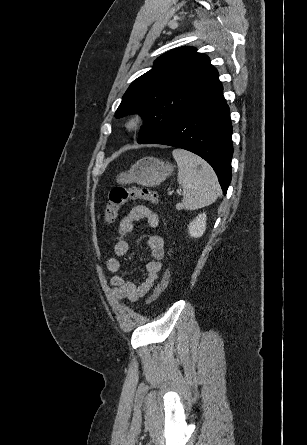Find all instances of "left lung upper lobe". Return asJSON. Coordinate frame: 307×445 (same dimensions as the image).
Instances as JSON below:
<instances>
[{
    "instance_id": "left-lung-upper-lobe-1",
    "label": "left lung upper lobe",
    "mask_w": 307,
    "mask_h": 445,
    "mask_svg": "<svg viewBox=\"0 0 307 445\" xmlns=\"http://www.w3.org/2000/svg\"><path fill=\"white\" fill-rule=\"evenodd\" d=\"M219 86L218 72L205 54L193 47L177 48L132 82L115 116L141 115L144 125L138 143H142Z\"/></svg>"
}]
</instances>
